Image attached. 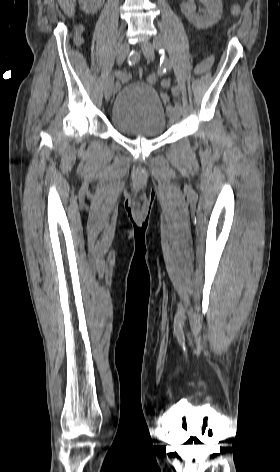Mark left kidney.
Segmentation results:
<instances>
[{"label":"left kidney","mask_w":280,"mask_h":472,"mask_svg":"<svg viewBox=\"0 0 280 472\" xmlns=\"http://www.w3.org/2000/svg\"><path fill=\"white\" fill-rule=\"evenodd\" d=\"M206 7L202 15L196 14V9L189 3L182 4V11L190 23L198 29H204L216 24L222 15V0H200Z\"/></svg>","instance_id":"left-kidney-1"}]
</instances>
